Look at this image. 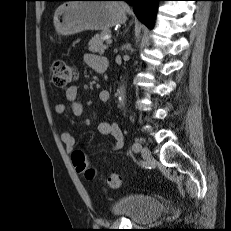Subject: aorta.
I'll list each match as a JSON object with an SVG mask.
<instances>
[{"mask_svg": "<svg viewBox=\"0 0 231 231\" xmlns=\"http://www.w3.org/2000/svg\"><path fill=\"white\" fill-rule=\"evenodd\" d=\"M125 87L124 85L120 86L118 89V102L120 107H124L125 104Z\"/></svg>", "mask_w": 231, "mask_h": 231, "instance_id": "aorta-1", "label": "aorta"}]
</instances>
